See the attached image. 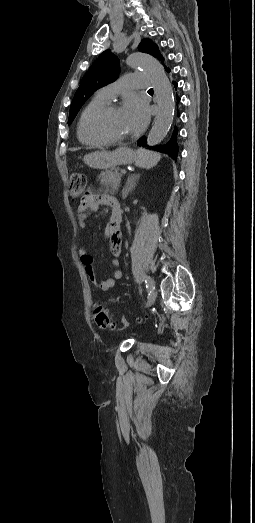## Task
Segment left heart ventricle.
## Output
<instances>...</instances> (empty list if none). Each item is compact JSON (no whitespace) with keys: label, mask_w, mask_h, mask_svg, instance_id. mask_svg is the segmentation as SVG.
Here are the masks:
<instances>
[{"label":"left heart ventricle","mask_w":255,"mask_h":523,"mask_svg":"<svg viewBox=\"0 0 255 523\" xmlns=\"http://www.w3.org/2000/svg\"><path fill=\"white\" fill-rule=\"evenodd\" d=\"M92 125L99 133L109 136H134L132 117L126 107L118 110H110L96 117Z\"/></svg>","instance_id":"1"}]
</instances>
